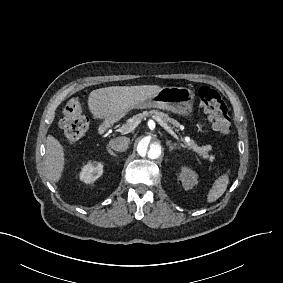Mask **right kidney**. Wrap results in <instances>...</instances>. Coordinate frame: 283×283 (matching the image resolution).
<instances>
[{
  "mask_svg": "<svg viewBox=\"0 0 283 283\" xmlns=\"http://www.w3.org/2000/svg\"><path fill=\"white\" fill-rule=\"evenodd\" d=\"M103 173V165L100 162H88L82 167L79 179L86 184L93 183Z\"/></svg>",
  "mask_w": 283,
  "mask_h": 283,
  "instance_id": "1",
  "label": "right kidney"
}]
</instances>
